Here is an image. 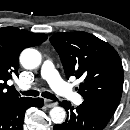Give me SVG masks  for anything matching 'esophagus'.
<instances>
[{
	"label": "esophagus",
	"instance_id": "34e87169",
	"mask_svg": "<svg viewBox=\"0 0 130 130\" xmlns=\"http://www.w3.org/2000/svg\"><path fill=\"white\" fill-rule=\"evenodd\" d=\"M44 105L48 108H52L56 105V103L54 101H51V100H48V99H45L44 100Z\"/></svg>",
	"mask_w": 130,
	"mask_h": 130
}]
</instances>
